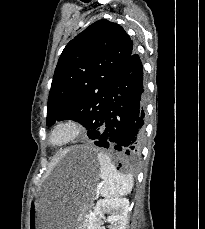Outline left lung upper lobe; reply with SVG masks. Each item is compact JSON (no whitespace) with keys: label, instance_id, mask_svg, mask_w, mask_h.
I'll list each match as a JSON object with an SVG mask.
<instances>
[{"label":"left lung upper lobe","instance_id":"left-lung-upper-lobe-1","mask_svg":"<svg viewBox=\"0 0 205 229\" xmlns=\"http://www.w3.org/2000/svg\"><path fill=\"white\" fill-rule=\"evenodd\" d=\"M132 52L129 35L108 20H99L78 34L58 60L46 124L72 119L88 129V136L93 134L103 120L108 92Z\"/></svg>","mask_w":205,"mask_h":229}]
</instances>
